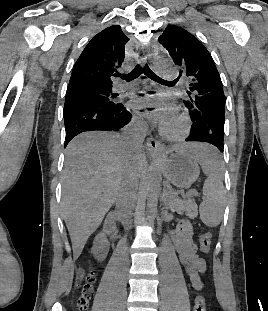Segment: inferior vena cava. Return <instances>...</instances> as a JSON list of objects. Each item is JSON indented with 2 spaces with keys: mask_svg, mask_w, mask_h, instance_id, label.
<instances>
[{
  "mask_svg": "<svg viewBox=\"0 0 268 311\" xmlns=\"http://www.w3.org/2000/svg\"><path fill=\"white\" fill-rule=\"evenodd\" d=\"M125 139L130 145L134 146L132 149L133 152L135 153L138 152L140 145L136 144L135 141L128 135H125ZM136 192H137V184L130 175L129 178L122 183L117 201V207L119 214L121 215L122 218V224L127 229L131 225L130 217L132 215V210L134 207Z\"/></svg>",
  "mask_w": 268,
  "mask_h": 311,
  "instance_id": "602c4592",
  "label": "inferior vena cava"
}]
</instances>
